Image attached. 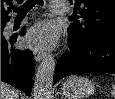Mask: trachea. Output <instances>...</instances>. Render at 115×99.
<instances>
[{
	"label": "trachea",
	"mask_w": 115,
	"mask_h": 99,
	"mask_svg": "<svg viewBox=\"0 0 115 99\" xmlns=\"http://www.w3.org/2000/svg\"><path fill=\"white\" fill-rule=\"evenodd\" d=\"M36 4L43 5V0H27L22 6L13 7V11L17 16H25Z\"/></svg>",
	"instance_id": "3493384b"
}]
</instances>
